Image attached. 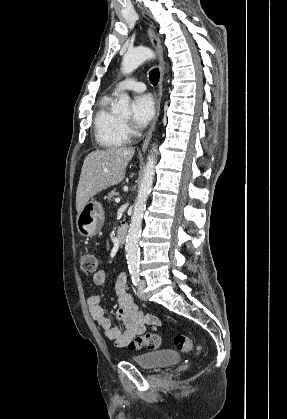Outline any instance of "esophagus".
<instances>
[{
  "label": "esophagus",
  "mask_w": 287,
  "mask_h": 419,
  "mask_svg": "<svg viewBox=\"0 0 287 419\" xmlns=\"http://www.w3.org/2000/svg\"><path fill=\"white\" fill-rule=\"evenodd\" d=\"M148 35L159 57L160 78H159L158 89H157L156 115L150 129L147 132L146 138L141 147V151H145L148 148L155 124L160 114V104H161V99H162V94H163V77H164L163 52H164V49L161 44L160 38L156 35L154 29L151 26L148 27Z\"/></svg>",
  "instance_id": "34e87169"
}]
</instances>
